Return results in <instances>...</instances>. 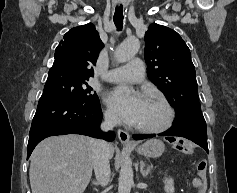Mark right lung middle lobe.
Masks as SVG:
<instances>
[{
    "instance_id": "dd1d6c3e",
    "label": "right lung middle lobe",
    "mask_w": 237,
    "mask_h": 193,
    "mask_svg": "<svg viewBox=\"0 0 237 193\" xmlns=\"http://www.w3.org/2000/svg\"><path fill=\"white\" fill-rule=\"evenodd\" d=\"M87 78L74 77L63 73H48L41 98H58L77 106H91L99 103Z\"/></svg>"
}]
</instances>
